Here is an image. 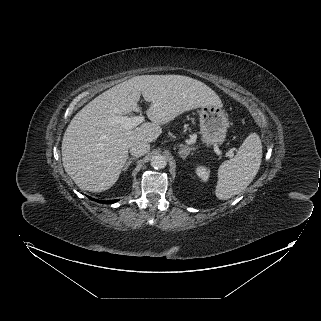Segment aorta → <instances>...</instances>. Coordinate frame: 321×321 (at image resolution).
<instances>
[{
    "instance_id": "obj_1",
    "label": "aorta",
    "mask_w": 321,
    "mask_h": 321,
    "mask_svg": "<svg viewBox=\"0 0 321 321\" xmlns=\"http://www.w3.org/2000/svg\"><path fill=\"white\" fill-rule=\"evenodd\" d=\"M150 164L155 169H163L167 165V159L161 154H156L152 156Z\"/></svg>"
}]
</instances>
